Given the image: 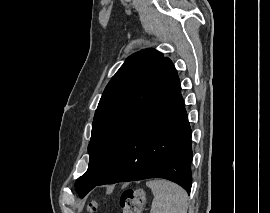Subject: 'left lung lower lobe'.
I'll return each mask as SVG.
<instances>
[{
  "instance_id": "0a47b994",
  "label": "left lung lower lobe",
  "mask_w": 270,
  "mask_h": 213,
  "mask_svg": "<svg viewBox=\"0 0 270 213\" xmlns=\"http://www.w3.org/2000/svg\"><path fill=\"white\" fill-rule=\"evenodd\" d=\"M192 157L191 128L179 83L139 125L97 185L165 178L190 193Z\"/></svg>"
}]
</instances>
